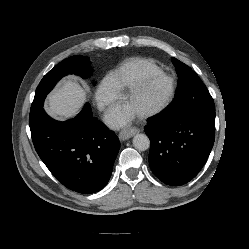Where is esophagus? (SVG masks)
<instances>
[{"mask_svg":"<svg viewBox=\"0 0 249 249\" xmlns=\"http://www.w3.org/2000/svg\"><path fill=\"white\" fill-rule=\"evenodd\" d=\"M137 132H138V129L136 128H129V129L122 130L120 132V139L127 140L131 138L132 136H134Z\"/></svg>","mask_w":249,"mask_h":249,"instance_id":"esophagus-1","label":"esophagus"}]
</instances>
